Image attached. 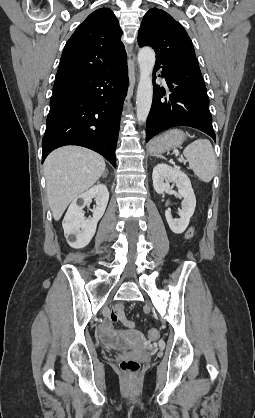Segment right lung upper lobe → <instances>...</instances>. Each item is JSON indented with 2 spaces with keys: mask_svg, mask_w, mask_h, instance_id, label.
Segmentation results:
<instances>
[{
  "mask_svg": "<svg viewBox=\"0 0 255 418\" xmlns=\"http://www.w3.org/2000/svg\"><path fill=\"white\" fill-rule=\"evenodd\" d=\"M122 30L114 13L100 8L81 23L67 41L56 79L97 70H108L127 62Z\"/></svg>",
  "mask_w": 255,
  "mask_h": 418,
  "instance_id": "1",
  "label": "right lung upper lobe"
}]
</instances>
